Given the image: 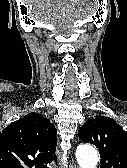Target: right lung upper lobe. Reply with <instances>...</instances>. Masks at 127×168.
<instances>
[{"label": "right lung upper lobe", "mask_w": 127, "mask_h": 168, "mask_svg": "<svg viewBox=\"0 0 127 168\" xmlns=\"http://www.w3.org/2000/svg\"><path fill=\"white\" fill-rule=\"evenodd\" d=\"M57 130L39 113H29L0 134V168H47L56 160Z\"/></svg>", "instance_id": "1"}]
</instances>
